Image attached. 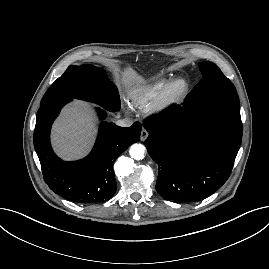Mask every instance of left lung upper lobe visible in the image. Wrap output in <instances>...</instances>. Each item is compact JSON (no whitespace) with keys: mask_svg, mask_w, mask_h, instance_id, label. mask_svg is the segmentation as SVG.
I'll use <instances>...</instances> for the list:
<instances>
[{"mask_svg":"<svg viewBox=\"0 0 269 269\" xmlns=\"http://www.w3.org/2000/svg\"><path fill=\"white\" fill-rule=\"evenodd\" d=\"M199 69L203 77L185 100V109L195 110L220 104L240 107L234 85L217 65L204 61L199 63Z\"/></svg>","mask_w":269,"mask_h":269,"instance_id":"obj_1","label":"left lung upper lobe"}]
</instances>
